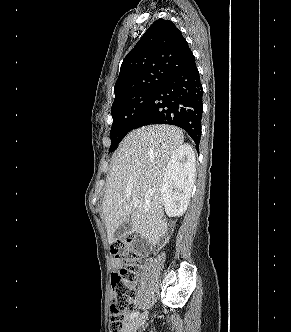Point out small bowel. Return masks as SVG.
I'll return each mask as SVG.
<instances>
[{
  "instance_id": "1",
  "label": "small bowel",
  "mask_w": 291,
  "mask_h": 332,
  "mask_svg": "<svg viewBox=\"0 0 291 332\" xmlns=\"http://www.w3.org/2000/svg\"><path fill=\"white\" fill-rule=\"evenodd\" d=\"M112 264L114 267H119L121 265V261L116 257L113 259Z\"/></svg>"
}]
</instances>
